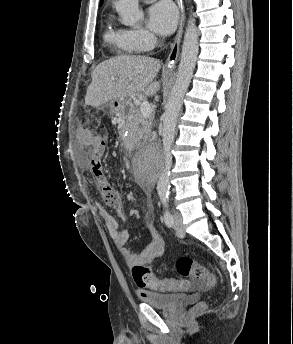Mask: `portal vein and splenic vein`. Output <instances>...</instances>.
<instances>
[{"label":"portal vein and splenic vein","mask_w":293,"mask_h":344,"mask_svg":"<svg viewBox=\"0 0 293 344\" xmlns=\"http://www.w3.org/2000/svg\"><path fill=\"white\" fill-rule=\"evenodd\" d=\"M140 112L144 117L150 116L152 109L148 101H143L140 105Z\"/></svg>","instance_id":"18ae733b"}]
</instances>
